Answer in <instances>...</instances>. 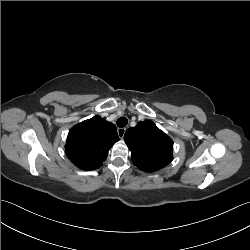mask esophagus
I'll return each instance as SVG.
<instances>
[{"instance_id":"1","label":"esophagus","mask_w":250,"mask_h":250,"mask_svg":"<svg viewBox=\"0 0 250 250\" xmlns=\"http://www.w3.org/2000/svg\"><path fill=\"white\" fill-rule=\"evenodd\" d=\"M125 132H126V128H118V129H117V133H118V136H119L120 138H123V137H124Z\"/></svg>"}]
</instances>
